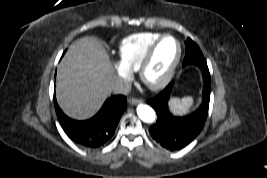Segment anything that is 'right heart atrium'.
<instances>
[{
	"mask_svg": "<svg viewBox=\"0 0 267 178\" xmlns=\"http://www.w3.org/2000/svg\"><path fill=\"white\" fill-rule=\"evenodd\" d=\"M117 74L121 79L123 86H126L132 79V72L122 65L118 66Z\"/></svg>",
	"mask_w": 267,
	"mask_h": 178,
	"instance_id": "d8ad5b80",
	"label": "right heart atrium"
}]
</instances>
